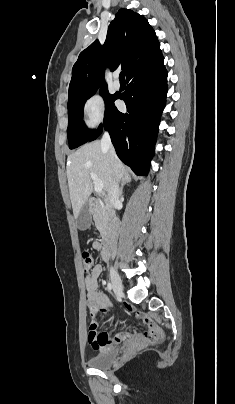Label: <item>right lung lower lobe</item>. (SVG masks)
I'll return each instance as SVG.
<instances>
[{"mask_svg":"<svg viewBox=\"0 0 235 404\" xmlns=\"http://www.w3.org/2000/svg\"><path fill=\"white\" fill-rule=\"evenodd\" d=\"M163 56L155 62L132 71L121 97L127 113L113 106L106 112L100 125L89 141L99 137L103 127L109 131L120 160L137 175H147L158 132L159 118L165 106L167 71Z\"/></svg>","mask_w":235,"mask_h":404,"instance_id":"98d812e1","label":"right lung lower lobe"}]
</instances>
